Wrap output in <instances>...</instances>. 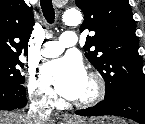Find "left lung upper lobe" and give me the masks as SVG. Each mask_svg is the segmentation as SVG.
I'll return each instance as SVG.
<instances>
[{"label":"left lung upper lobe","mask_w":145,"mask_h":124,"mask_svg":"<svg viewBox=\"0 0 145 124\" xmlns=\"http://www.w3.org/2000/svg\"><path fill=\"white\" fill-rule=\"evenodd\" d=\"M76 5L85 16L80 32H94L86 38L85 56L105 80V99L122 91L145 94L136 23L128 0H76ZM92 46L95 49L90 51Z\"/></svg>","instance_id":"obj_1"}]
</instances>
